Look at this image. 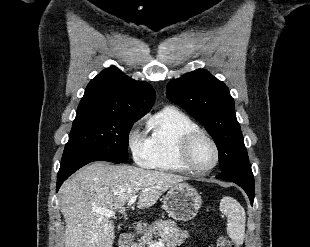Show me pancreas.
<instances>
[{"label":"pancreas","instance_id":"obj_1","mask_svg":"<svg viewBox=\"0 0 310 247\" xmlns=\"http://www.w3.org/2000/svg\"><path fill=\"white\" fill-rule=\"evenodd\" d=\"M154 236L158 237L159 242H162L165 247H177L185 242L189 232L179 229L171 220H157L144 232L135 247H148L153 243Z\"/></svg>","mask_w":310,"mask_h":247}]
</instances>
